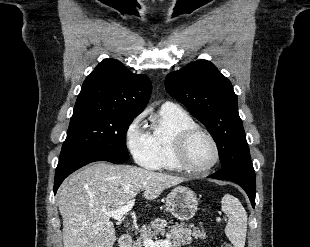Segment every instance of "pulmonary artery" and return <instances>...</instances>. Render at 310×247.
<instances>
[{
	"mask_svg": "<svg viewBox=\"0 0 310 247\" xmlns=\"http://www.w3.org/2000/svg\"><path fill=\"white\" fill-rule=\"evenodd\" d=\"M162 106L163 107H179L178 105H176L172 102H165Z\"/></svg>",
	"mask_w": 310,
	"mask_h": 247,
	"instance_id": "obj_1",
	"label": "pulmonary artery"
}]
</instances>
